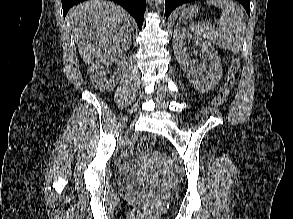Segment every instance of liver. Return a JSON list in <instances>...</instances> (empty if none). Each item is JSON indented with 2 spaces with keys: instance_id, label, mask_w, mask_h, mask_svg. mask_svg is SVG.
I'll return each instance as SVG.
<instances>
[{
  "instance_id": "1",
  "label": "liver",
  "mask_w": 293,
  "mask_h": 219,
  "mask_svg": "<svg viewBox=\"0 0 293 219\" xmlns=\"http://www.w3.org/2000/svg\"><path fill=\"white\" fill-rule=\"evenodd\" d=\"M66 22L78 44L81 58L90 64L94 57L121 56L131 43L127 12L106 0H90L72 7Z\"/></svg>"
}]
</instances>
